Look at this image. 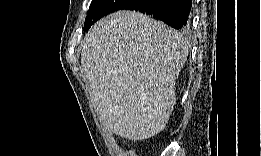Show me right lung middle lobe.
I'll return each instance as SVG.
<instances>
[{"mask_svg":"<svg viewBox=\"0 0 261 156\" xmlns=\"http://www.w3.org/2000/svg\"><path fill=\"white\" fill-rule=\"evenodd\" d=\"M130 0H93L89 8V16L86 18L83 30H88L94 22L104 15L121 9Z\"/></svg>","mask_w":261,"mask_h":156,"instance_id":"right-lung-middle-lobe-1","label":"right lung middle lobe"}]
</instances>
